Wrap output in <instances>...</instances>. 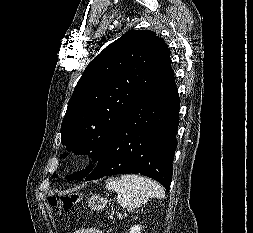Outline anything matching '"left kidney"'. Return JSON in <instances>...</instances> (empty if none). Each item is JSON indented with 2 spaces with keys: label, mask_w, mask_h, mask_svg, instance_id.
Here are the masks:
<instances>
[{
  "label": "left kidney",
  "mask_w": 253,
  "mask_h": 233,
  "mask_svg": "<svg viewBox=\"0 0 253 233\" xmlns=\"http://www.w3.org/2000/svg\"><path fill=\"white\" fill-rule=\"evenodd\" d=\"M141 230H142L141 226L134 225L133 227L130 228V233H142Z\"/></svg>",
  "instance_id": "5707ae66"
}]
</instances>
